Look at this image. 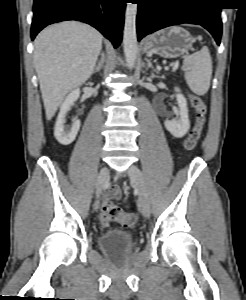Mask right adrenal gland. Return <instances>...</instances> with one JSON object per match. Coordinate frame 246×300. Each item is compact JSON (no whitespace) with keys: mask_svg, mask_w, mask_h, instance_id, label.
<instances>
[{"mask_svg":"<svg viewBox=\"0 0 246 300\" xmlns=\"http://www.w3.org/2000/svg\"><path fill=\"white\" fill-rule=\"evenodd\" d=\"M104 60H105V54H104V52H102L101 53V59L98 62V64L94 67L93 73H98L102 69L103 64H104Z\"/></svg>","mask_w":246,"mask_h":300,"instance_id":"2a0ac1e0","label":"right adrenal gland"}]
</instances>
